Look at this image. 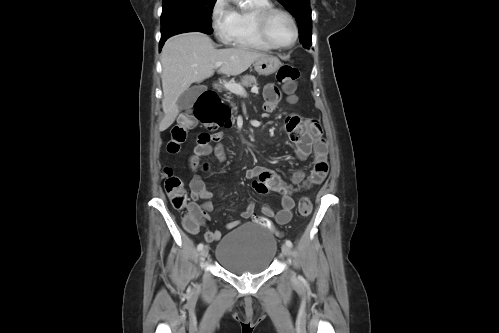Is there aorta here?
<instances>
[{
  "mask_svg": "<svg viewBox=\"0 0 499 333\" xmlns=\"http://www.w3.org/2000/svg\"><path fill=\"white\" fill-rule=\"evenodd\" d=\"M234 3H240L241 7H246V4L243 2V0H232Z\"/></svg>",
  "mask_w": 499,
  "mask_h": 333,
  "instance_id": "aorta-1",
  "label": "aorta"
}]
</instances>
